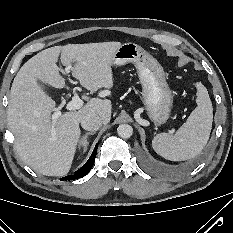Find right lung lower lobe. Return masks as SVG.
I'll list each match as a JSON object with an SVG mask.
<instances>
[{
  "label": "right lung lower lobe",
  "mask_w": 233,
  "mask_h": 233,
  "mask_svg": "<svg viewBox=\"0 0 233 233\" xmlns=\"http://www.w3.org/2000/svg\"><path fill=\"white\" fill-rule=\"evenodd\" d=\"M97 145L95 146L90 158L88 159V161L79 169L75 172V174L73 175H68L66 177L60 178L61 181L63 180H74V179H78V178H82L84 177L93 167V164L95 162V157H96V153H97Z\"/></svg>",
  "instance_id": "1"
}]
</instances>
